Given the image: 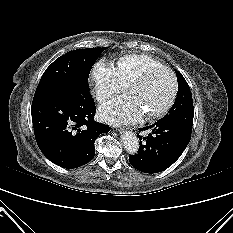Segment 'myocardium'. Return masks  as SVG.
Listing matches in <instances>:
<instances>
[{
    "instance_id": "obj_1",
    "label": "myocardium",
    "mask_w": 233,
    "mask_h": 233,
    "mask_svg": "<svg viewBox=\"0 0 233 233\" xmlns=\"http://www.w3.org/2000/svg\"><path fill=\"white\" fill-rule=\"evenodd\" d=\"M166 71L170 74L171 79H172V90L170 93V96L168 98V100L166 101V103L157 111L150 113V114H144V117L147 120H154L157 118H160L161 116H163L165 113L168 112V110L172 107L176 96H177V92H178V81H177V77L175 75V73L173 72L172 69H170L167 66H155V67H150L146 70H144L142 73H140L138 76H136L129 84H128V89H130L132 86L134 85H138L141 84L143 82H145L153 73L157 72V71Z\"/></svg>"
}]
</instances>
